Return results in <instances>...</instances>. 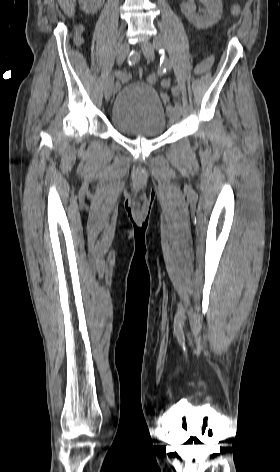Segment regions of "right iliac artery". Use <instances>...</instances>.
I'll return each mask as SVG.
<instances>
[{
  "label": "right iliac artery",
  "mask_w": 280,
  "mask_h": 472,
  "mask_svg": "<svg viewBox=\"0 0 280 472\" xmlns=\"http://www.w3.org/2000/svg\"><path fill=\"white\" fill-rule=\"evenodd\" d=\"M140 60V54L137 51L132 50L128 56L127 62L129 66H133L138 63ZM116 77L121 81H126L129 79V75L126 71H117Z\"/></svg>",
  "instance_id": "obj_1"
}]
</instances>
